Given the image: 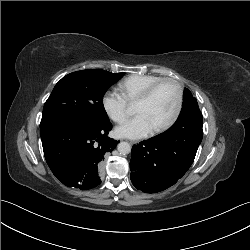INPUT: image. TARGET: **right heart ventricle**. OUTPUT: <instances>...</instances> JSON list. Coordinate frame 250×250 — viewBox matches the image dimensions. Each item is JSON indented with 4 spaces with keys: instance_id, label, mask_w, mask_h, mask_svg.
Here are the masks:
<instances>
[{
    "instance_id": "obj_1",
    "label": "right heart ventricle",
    "mask_w": 250,
    "mask_h": 250,
    "mask_svg": "<svg viewBox=\"0 0 250 250\" xmlns=\"http://www.w3.org/2000/svg\"><path fill=\"white\" fill-rule=\"evenodd\" d=\"M162 78L151 74L131 75L119 83V89L127 102L134 103L150 85Z\"/></svg>"
}]
</instances>
